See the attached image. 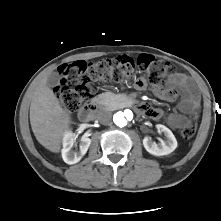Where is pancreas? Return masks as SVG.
Listing matches in <instances>:
<instances>
[{
	"label": "pancreas",
	"mask_w": 221,
	"mask_h": 221,
	"mask_svg": "<svg viewBox=\"0 0 221 221\" xmlns=\"http://www.w3.org/2000/svg\"><path fill=\"white\" fill-rule=\"evenodd\" d=\"M100 103L109 109H118L123 104V98L121 95L114 94L112 92H105L99 95Z\"/></svg>",
	"instance_id": "pancreas-1"
}]
</instances>
